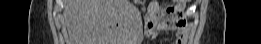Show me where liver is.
<instances>
[{
	"mask_svg": "<svg viewBox=\"0 0 261 44\" xmlns=\"http://www.w3.org/2000/svg\"><path fill=\"white\" fill-rule=\"evenodd\" d=\"M64 3L67 28L74 44H139L143 25H114L140 24L138 14H131L137 13V8L129 0H65Z\"/></svg>",
	"mask_w": 261,
	"mask_h": 44,
	"instance_id": "obj_1",
	"label": "liver"
}]
</instances>
